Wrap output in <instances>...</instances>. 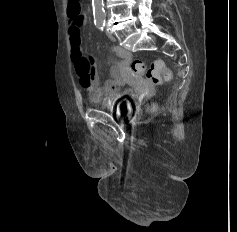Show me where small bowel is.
Masks as SVG:
<instances>
[{"label":"small bowel","mask_w":237,"mask_h":232,"mask_svg":"<svg viewBox=\"0 0 237 232\" xmlns=\"http://www.w3.org/2000/svg\"><path fill=\"white\" fill-rule=\"evenodd\" d=\"M86 23V16L82 14L79 18H70L68 31L71 44V57L75 70L80 79L83 89L95 102L106 101L112 104L120 100L125 92L123 76L129 71L131 54L128 50L113 46L112 52L117 60L109 65L110 78L103 85L99 83V75L93 58H87L81 47V27Z\"/></svg>","instance_id":"obj_1"}]
</instances>
